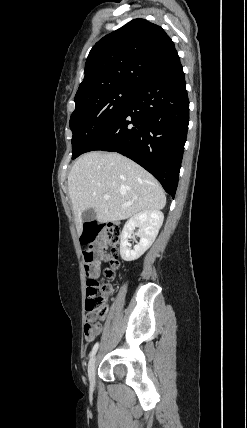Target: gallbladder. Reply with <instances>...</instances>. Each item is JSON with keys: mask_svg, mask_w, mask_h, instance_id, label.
<instances>
[{"mask_svg": "<svg viewBox=\"0 0 247 428\" xmlns=\"http://www.w3.org/2000/svg\"><path fill=\"white\" fill-rule=\"evenodd\" d=\"M95 218H96V212H95V210H94V209H92V208L87 209V210H85V211L82 213V220H83L84 222H91V221H94V220H95Z\"/></svg>", "mask_w": 247, "mask_h": 428, "instance_id": "gallbladder-1", "label": "gallbladder"}]
</instances>
